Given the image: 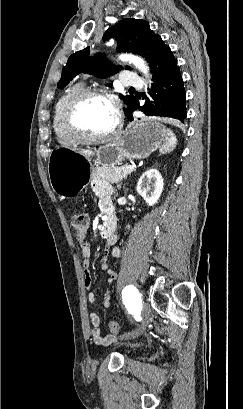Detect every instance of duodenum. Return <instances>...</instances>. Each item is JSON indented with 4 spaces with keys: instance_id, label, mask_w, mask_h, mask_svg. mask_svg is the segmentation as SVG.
I'll use <instances>...</instances> for the list:
<instances>
[{
    "instance_id": "410a0bca",
    "label": "duodenum",
    "mask_w": 243,
    "mask_h": 409,
    "mask_svg": "<svg viewBox=\"0 0 243 409\" xmlns=\"http://www.w3.org/2000/svg\"><path fill=\"white\" fill-rule=\"evenodd\" d=\"M105 221L101 230V235L104 238H110L114 235L116 229V214L110 209L105 210Z\"/></svg>"
}]
</instances>
